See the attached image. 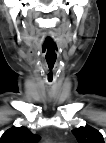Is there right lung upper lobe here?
<instances>
[{
    "mask_svg": "<svg viewBox=\"0 0 106 143\" xmlns=\"http://www.w3.org/2000/svg\"><path fill=\"white\" fill-rule=\"evenodd\" d=\"M40 140L38 135L30 132L26 127H12L1 137V143H37Z\"/></svg>",
    "mask_w": 106,
    "mask_h": 143,
    "instance_id": "right-lung-upper-lobe-1",
    "label": "right lung upper lobe"
}]
</instances>
